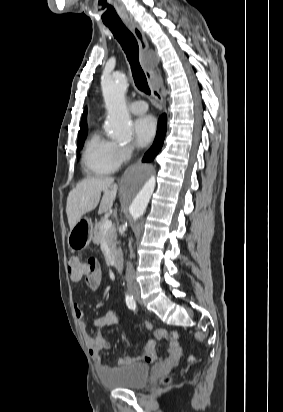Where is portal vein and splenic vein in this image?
<instances>
[{
  "mask_svg": "<svg viewBox=\"0 0 283 412\" xmlns=\"http://www.w3.org/2000/svg\"><path fill=\"white\" fill-rule=\"evenodd\" d=\"M112 227V221L111 220H106L104 221L103 225H102V230L103 231H107Z\"/></svg>",
  "mask_w": 283,
  "mask_h": 412,
  "instance_id": "18ae733b",
  "label": "portal vein and splenic vein"
}]
</instances>
